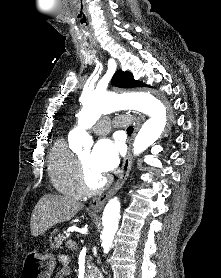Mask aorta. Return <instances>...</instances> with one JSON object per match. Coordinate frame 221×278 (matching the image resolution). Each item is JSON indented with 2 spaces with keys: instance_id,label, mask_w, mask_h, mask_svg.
<instances>
[{
  "instance_id": "aorta-1",
  "label": "aorta",
  "mask_w": 221,
  "mask_h": 278,
  "mask_svg": "<svg viewBox=\"0 0 221 278\" xmlns=\"http://www.w3.org/2000/svg\"><path fill=\"white\" fill-rule=\"evenodd\" d=\"M83 108L78 118V125L70 133L71 143L84 145L89 141L86 130L91 128L102 114L119 109H134L147 114L150 118L142 125L134 143L133 153L139 155L153 144L162 134L166 125V109L154 96L147 93L132 95L119 100L115 95L107 92L92 91L82 96ZM120 217V202L115 197L106 204L103 217V231L101 233V247L107 254L112 246L114 236L118 230Z\"/></svg>"
}]
</instances>
